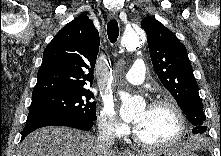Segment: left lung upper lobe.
<instances>
[{"instance_id": "1", "label": "left lung upper lobe", "mask_w": 221, "mask_h": 156, "mask_svg": "<svg viewBox=\"0 0 221 156\" xmlns=\"http://www.w3.org/2000/svg\"><path fill=\"white\" fill-rule=\"evenodd\" d=\"M142 28L147 34L150 57L163 86L194 125L193 134L204 133L205 114L198 85L185 46L176 35L153 17L145 18Z\"/></svg>"}]
</instances>
